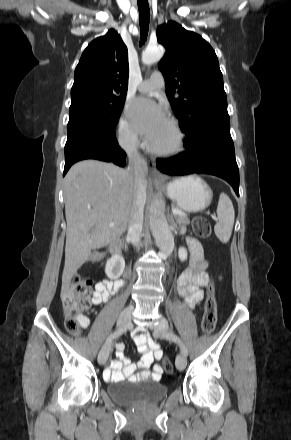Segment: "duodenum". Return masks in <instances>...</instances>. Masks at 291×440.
<instances>
[{"label": "duodenum", "instance_id": "duodenum-1", "mask_svg": "<svg viewBox=\"0 0 291 440\" xmlns=\"http://www.w3.org/2000/svg\"><path fill=\"white\" fill-rule=\"evenodd\" d=\"M124 242L116 240L111 244L110 251L116 260H120L123 257Z\"/></svg>", "mask_w": 291, "mask_h": 440}]
</instances>
